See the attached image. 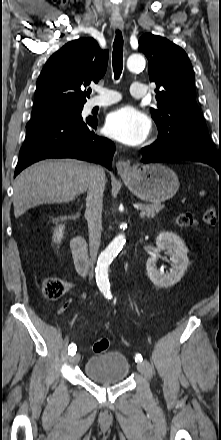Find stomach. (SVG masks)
<instances>
[{
	"label": "stomach",
	"instance_id": "0dacf381",
	"mask_svg": "<svg viewBox=\"0 0 221 440\" xmlns=\"http://www.w3.org/2000/svg\"><path fill=\"white\" fill-rule=\"evenodd\" d=\"M121 177L135 196L151 203L166 201L179 189L176 173L162 164L134 166Z\"/></svg>",
	"mask_w": 221,
	"mask_h": 440
}]
</instances>
